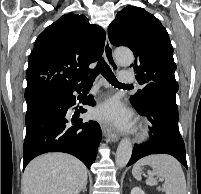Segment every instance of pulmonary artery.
Listing matches in <instances>:
<instances>
[{"label":"pulmonary artery","mask_w":201,"mask_h":194,"mask_svg":"<svg viewBox=\"0 0 201 194\" xmlns=\"http://www.w3.org/2000/svg\"><path fill=\"white\" fill-rule=\"evenodd\" d=\"M119 81L124 84H130L134 82V76L130 71H121L118 74Z\"/></svg>","instance_id":"e3ab8cb5"}]
</instances>
